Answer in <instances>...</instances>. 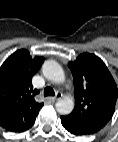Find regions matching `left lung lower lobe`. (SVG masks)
Returning a JSON list of instances; mask_svg holds the SVG:
<instances>
[{
  "label": "left lung lower lobe",
  "mask_w": 118,
  "mask_h": 142,
  "mask_svg": "<svg viewBox=\"0 0 118 142\" xmlns=\"http://www.w3.org/2000/svg\"><path fill=\"white\" fill-rule=\"evenodd\" d=\"M61 123H62V126L71 134H74L77 136L89 135L88 132H86L79 125H77L75 122L69 119L61 117Z\"/></svg>",
  "instance_id": "left-lung-lower-lobe-1"
}]
</instances>
